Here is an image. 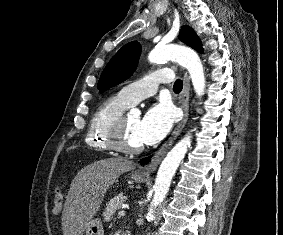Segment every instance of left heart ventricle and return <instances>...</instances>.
I'll use <instances>...</instances> for the list:
<instances>
[{"instance_id":"1","label":"left heart ventricle","mask_w":283,"mask_h":235,"mask_svg":"<svg viewBox=\"0 0 283 235\" xmlns=\"http://www.w3.org/2000/svg\"><path fill=\"white\" fill-rule=\"evenodd\" d=\"M140 122L139 117L127 116L126 117V141L130 146H139L141 141L137 134V127Z\"/></svg>"}]
</instances>
